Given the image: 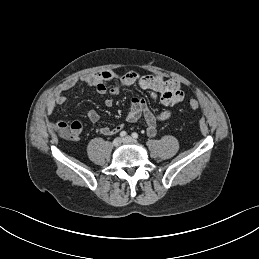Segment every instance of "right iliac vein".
I'll return each instance as SVG.
<instances>
[{"label": "right iliac vein", "mask_w": 259, "mask_h": 259, "mask_svg": "<svg viewBox=\"0 0 259 259\" xmlns=\"http://www.w3.org/2000/svg\"><path fill=\"white\" fill-rule=\"evenodd\" d=\"M121 143H122V139L120 137H117L113 141V146L118 147L121 145Z\"/></svg>", "instance_id": "right-iliac-vein-1"}]
</instances>
